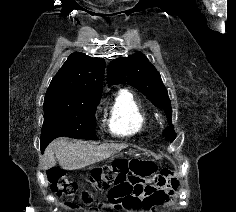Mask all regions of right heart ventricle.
<instances>
[{"mask_svg":"<svg viewBox=\"0 0 236 212\" xmlns=\"http://www.w3.org/2000/svg\"><path fill=\"white\" fill-rule=\"evenodd\" d=\"M147 124V112L134 93L120 90L107 115L110 132L117 136H129L141 132Z\"/></svg>","mask_w":236,"mask_h":212,"instance_id":"1","label":"right heart ventricle"}]
</instances>
